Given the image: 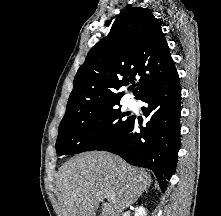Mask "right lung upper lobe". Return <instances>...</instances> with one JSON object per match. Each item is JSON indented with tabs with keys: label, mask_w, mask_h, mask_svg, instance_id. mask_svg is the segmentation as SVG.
Listing matches in <instances>:
<instances>
[{
	"label": "right lung upper lobe",
	"mask_w": 221,
	"mask_h": 216,
	"mask_svg": "<svg viewBox=\"0 0 221 216\" xmlns=\"http://www.w3.org/2000/svg\"><path fill=\"white\" fill-rule=\"evenodd\" d=\"M175 70L158 20L145 8L128 7L78 69L63 119L119 105L124 92L117 91L132 83L135 76H140L138 90L134 91L140 99Z\"/></svg>",
	"instance_id": "obj_1"
}]
</instances>
